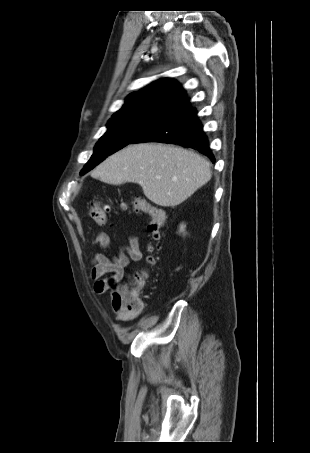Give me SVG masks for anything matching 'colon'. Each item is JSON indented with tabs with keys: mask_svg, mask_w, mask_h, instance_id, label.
I'll return each mask as SVG.
<instances>
[{
	"mask_svg": "<svg viewBox=\"0 0 310 453\" xmlns=\"http://www.w3.org/2000/svg\"><path fill=\"white\" fill-rule=\"evenodd\" d=\"M121 207L123 210L131 207L135 212L146 215L149 220V237L154 241H159L162 238L166 217L161 209L140 197L133 198L129 204L123 203ZM110 208L109 204L102 201H93L90 205V216L96 224L105 225L108 221ZM155 250L156 247L153 244L148 245L147 263L152 264L155 262ZM146 278L147 271L140 270L131 275L129 285L121 286L116 282H112V306L115 312L125 317H133L144 310V302L140 298L139 292Z\"/></svg>",
	"mask_w": 310,
	"mask_h": 453,
	"instance_id": "1",
	"label": "colon"
}]
</instances>
